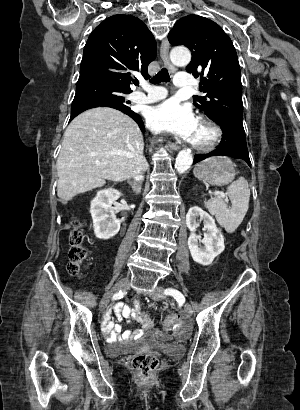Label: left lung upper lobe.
I'll use <instances>...</instances> for the list:
<instances>
[{"mask_svg":"<svg viewBox=\"0 0 300 410\" xmlns=\"http://www.w3.org/2000/svg\"><path fill=\"white\" fill-rule=\"evenodd\" d=\"M168 40L191 50L186 71L202 77L199 90L206 96H193V104L215 122L227 116L242 121L240 67L233 43L222 28L205 17L188 15L177 21Z\"/></svg>","mask_w":300,"mask_h":410,"instance_id":"1","label":"left lung upper lobe"}]
</instances>
